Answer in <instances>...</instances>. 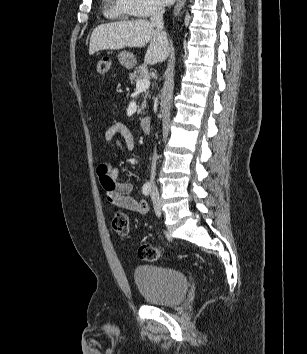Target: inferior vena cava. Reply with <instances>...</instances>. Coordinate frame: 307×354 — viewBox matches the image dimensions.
Returning a JSON list of instances; mask_svg holds the SVG:
<instances>
[{
	"instance_id": "1",
	"label": "inferior vena cava",
	"mask_w": 307,
	"mask_h": 354,
	"mask_svg": "<svg viewBox=\"0 0 307 354\" xmlns=\"http://www.w3.org/2000/svg\"><path fill=\"white\" fill-rule=\"evenodd\" d=\"M165 12L164 7L161 5H155L151 10V17L150 21L151 24L156 27L159 31H161L164 35L166 33L163 31L164 23H163V14ZM156 161H157V154L156 150L154 151L153 160H152V167H151V188L153 194H158L157 186L155 185V171H156Z\"/></svg>"
}]
</instances>
